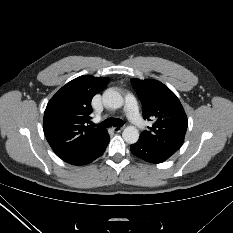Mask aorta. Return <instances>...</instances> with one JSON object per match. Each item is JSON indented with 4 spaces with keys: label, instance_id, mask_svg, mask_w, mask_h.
I'll return each instance as SVG.
<instances>
[{
    "label": "aorta",
    "instance_id": "obj_1",
    "mask_svg": "<svg viewBox=\"0 0 233 233\" xmlns=\"http://www.w3.org/2000/svg\"><path fill=\"white\" fill-rule=\"evenodd\" d=\"M103 102L108 108L119 109L124 100L119 92L109 88L103 93ZM122 137L128 144H134L139 139V131L135 126H127L122 132Z\"/></svg>",
    "mask_w": 233,
    "mask_h": 233
}]
</instances>
